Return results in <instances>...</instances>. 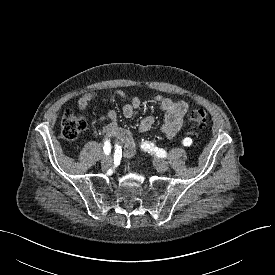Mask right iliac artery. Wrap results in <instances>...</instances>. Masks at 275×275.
<instances>
[{
  "label": "right iliac artery",
  "instance_id": "1",
  "mask_svg": "<svg viewBox=\"0 0 275 275\" xmlns=\"http://www.w3.org/2000/svg\"><path fill=\"white\" fill-rule=\"evenodd\" d=\"M103 150H104V153H105L107 156L110 155V152H111V145H110L109 140H107V141L104 143Z\"/></svg>",
  "mask_w": 275,
  "mask_h": 275
}]
</instances>
